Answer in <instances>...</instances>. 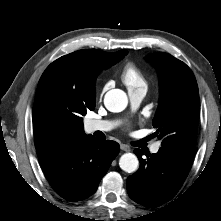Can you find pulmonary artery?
<instances>
[{"label": "pulmonary artery", "instance_id": "pulmonary-artery-1", "mask_svg": "<svg viewBox=\"0 0 221 221\" xmlns=\"http://www.w3.org/2000/svg\"><path fill=\"white\" fill-rule=\"evenodd\" d=\"M146 94V89H131L128 90L129 99L133 108H136ZM117 125L115 121L109 120H89L85 124V128L88 132H95V131H103L107 132L112 130ZM161 147L160 143H155L151 147L152 153H157Z\"/></svg>", "mask_w": 221, "mask_h": 221}]
</instances>
